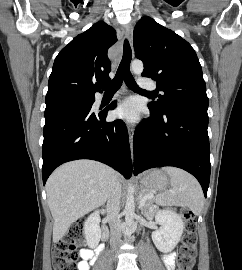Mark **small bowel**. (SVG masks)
Here are the masks:
<instances>
[{
    "instance_id": "c3829d8e",
    "label": "small bowel",
    "mask_w": 242,
    "mask_h": 270,
    "mask_svg": "<svg viewBox=\"0 0 242 270\" xmlns=\"http://www.w3.org/2000/svg\"><path fill=\"white\" fill-rule=\"evenodd\" d=\"M101 247H98L96 251H99ZM80 256L82 260L77 264L78 270H89L90 264L95 261V252L91 249H81ZM175 254L168 253L164 255L163 262L167 270H174L175 267Z\"/></svg>"
}]
</instances>
